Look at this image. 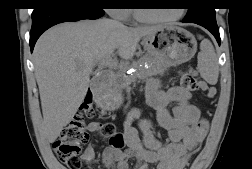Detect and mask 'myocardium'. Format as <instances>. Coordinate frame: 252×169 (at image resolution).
Here are the masks:
<instances>
[{"mask_svg": "<svg viewBox=\"0 0 252 169\" xmlns=\"http://www.w3.org/2000/svg\"><path fill=\"white\" fill-rule=\"evenodd\" d=\"M134 18L142 23H164L179 20L183 16V10H179L176 14L167 17L149 18L140 14L138 9H133Z\"/></svg>", "mask_w": 252, "mask_h": 169, "instance_id": "f54148a6", "label": "myocardium"}]
</instances>
